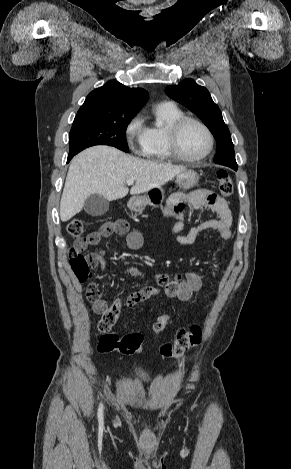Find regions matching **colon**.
I'll return each mask as SVG.
<instances>
[{"instance_id": "1", "label": "colon", "mask_w": 291, "mask_h": 469, "mask_svg": "<svg viewBox=\"0 0 291 469\" xmlns=\"http://www.w3.org/2000/svg\"><path fill=\"white\" fill-rule=\"evenodd\" d=\"M218 190L221 197H228L233 192V182L229 173L220 169L217 171ZM68 233L77 238L76 245L69 251V261L76 277L80 282H87L92 276V269L94 267L92 261L88 256L82 253V249L92 243L100 240L102 237V230H98L84 235L86 230V223L81 218L72 219L67 227ZM87 298L93 302L98 297V290L94 284H89L86 289ZM124 302V296L119 294L117 296V304L112 308L105 309L100 312L101 318L98 323V330L100 336L97 341V350L101 353H109L119 351L125 355L140 354L143 349V336L140 333L134 332L119 337L110 330L114 325L118 313L123 310L121 306ZM168 316L166 314L160 315L153 324V332L160 334L164 331L168 324ZM202 339V329L199 325H193L189 329H181L177 335L174 343H167L161 346L160 353L165 358H179L191 347L198 345Z\"/></svg>"}]
</instances>
